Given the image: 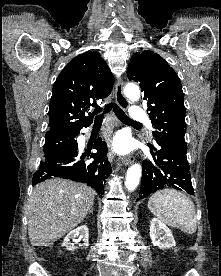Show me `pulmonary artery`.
<instances>
[{"label": "pulmonary artery", "instance_id": "1", "mask_svg": "<svg viewBox=\"0 0 221 276\" xmlns=\"http://www.w3.org/2000/svg\"><path fill=\"white\" fill-rule=\"evenodd\" d=\"M130 116L133 121L139 122V121H145L147 120V115L145 111L138 106H133L130 110Z\"/></svg>", "mask_w": 221, "mask_h": 276}]
</instances>
